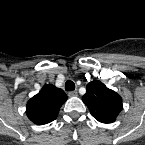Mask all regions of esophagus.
Returning a JSON list of instances; mask_svg holds the SVG:
<instances>
[{
	"instance_id": "1",
	"label": "esophagus",
	"mask_w": 145,
	"mask_h": 145,
	"mask_svg": "<svg viewBox=\"0 0 145 145\" xmlns=\"http://www.w3.org/2000/svg\"><path fill=\"white\" fill-rule=\"evenodd\" d=\"M78 95V92L76 90H73V91H69L68 92V96L69 97H76Z\"/></svg>"
}]
</instances>
